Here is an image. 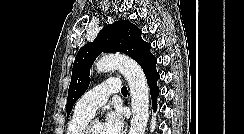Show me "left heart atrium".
Listing matches in <instances>:
<instances>
[{"instance_id":"39dd6f15","label":"left heart atrium","mask_w":244,"mask_h":134,"mask_svg":"<svg viewBox=\"0 0 244 134\" xmlns=\"http://www.w3.org/2000/svg\"><path fill=\"white\" fill-rule=\"evenodd\" d=\"M102 126L104 134H123L124 121L122 114L117 110L109 111Z\"/></svg>"}]
</instances>
